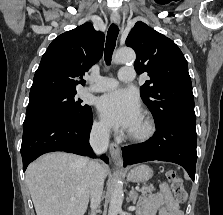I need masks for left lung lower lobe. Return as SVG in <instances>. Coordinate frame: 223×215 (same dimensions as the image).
Returning a JSON list of instances; mask_svg holds the SVG:
<instances>
[{
  "label": "left lung lower lobe",
  "instance_id": "obj_1",
  "mask_svg": "<svg viewBox=\"0 0 223 215\" xmlns=\"http://www.w3.org/2000/svg\"><path fill=\"white\" fill-rule=\"evenodd\" d=\"M196 123L169 121L156 125L148 141L122 148L124 166L146 161H168L181 165L194 181L197 161Z\"/></svg>",
  "mask_w": 223,
  "mask_h": 215
}]
</instances>
